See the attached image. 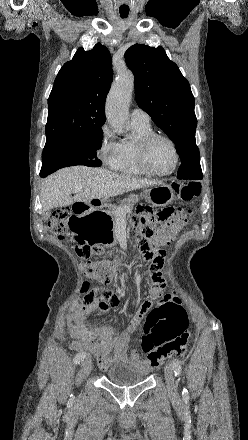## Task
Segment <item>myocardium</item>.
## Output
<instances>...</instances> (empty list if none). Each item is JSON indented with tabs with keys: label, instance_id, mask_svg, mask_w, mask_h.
I'll return each instance as SVG.
<instances>
[{
	"label": "myocardium",
	"instance_id": "f54148a6",
	"mask_svg": "<svg viewBox=\"0 0 248 440\" xmlns=\"http://www.w3.org/2000/svg\"><path fill=\"white\" fill-rule=\"evenodd\" d=\"M157 140H164L167 143H169L170 146L172 147L175 160H174L173 167L169 171L157 172V171H154L149 165V161H148L149 150H150L152 144ZM137 161H138L140 168L142 169V171L145 174L150 175V176H154V177H166V176L173 174L176 171V169L179 165V162H180V154H179L176 143L170 137L163 135V134L153 132L151 134L144 136L143 138H141L139 140L138 145H137Z\"/></svg>",
	"mask_w": 248,
	"mask_h": 440
}]
</instances>
